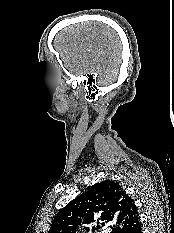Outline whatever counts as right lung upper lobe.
I'll return each mask as SVG.
<instances>
[{"label":"right lung upper lobe","mask_w":174,"mask_h":233,"mask_svg":"<svg viewBox=\"0 0 174 233\" xmlns=\"http://www.w3.org/2000/svg\"><path fill=\"white\" fill-rule=\"evenodd\" d=\"M81 218L88 225L99 221L112 222L111 233H133L141 226L133 200L112 180L97 183L70 201L57 213L48 233H76ZM99 228L100 225L93 226L92 230ZM84 229L89 231V227Z\"/></svg>","instance_id":"obj_1"}]
</instances>
